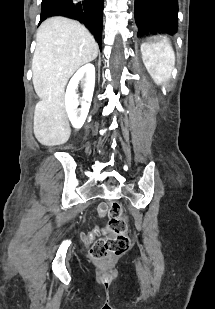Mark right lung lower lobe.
I'll return each mask as SVG.
<instances>
[{
    "label": "right lung lower lobe",
    "mask_w": 215,
    "mask_h": 309,
    "mask_svg": "<svg viewBox=\"0 0 215 309\" xmlns=\"http://www.w3.org/2000/svg\"><path fill=\"white\" fill-rule=\"evenodd\" d=\"M104 0H42L40 22L64 16L83 23L101 46Z\"/></svg>",
    "instance_id": "1"
}]
</instances>
